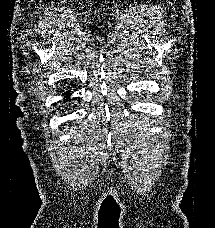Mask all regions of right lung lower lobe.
Instances as JSON below:
<instances>
[{
  "label": "right lung lower lobe",
  "mask_w": 215,
  "mask_h": 228,
  "mask_svg": "<svg viewBox=\"0 0 215 228\" xmlns=\"http://www.w3.org/2000/svg\"><path fill=\"white\" fill-rule=\"evenodd\" d=\"M65 95H66L67 100H68V97H69V95H70V92H69V91H67V92L65 93Z\"/></svg>",
  "instance_id": "right-lung-lower-lobe-1"
}]
</instances>
